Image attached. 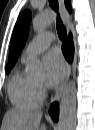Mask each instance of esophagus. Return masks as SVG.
<instances>
[{"instance_id":"obj_1","label":"esophagus","mask_w":95,"mask_h":130,"mask_svg":"<svg viewBox=\"0 0 95 130\" xmlns=\"http://www.w3.org/2000/svg\"><path fill=\"white\" fill-rule=\"evenodd\" d=\"M59 7H60L62 20L67 25V28H68V25L71 21V17L65 7V3L63 0H59ZM68 30H69V28H68ZM70 72H71V65L69 63H67L66 67H65V71H64L62 79H61V82L56 90V94H55L54 98L52 99V102H57L60 100L64 87L69 80ZM46 118L47 119L50 118L49 114L46 115Z\"/></svg>"}]
</instances>
